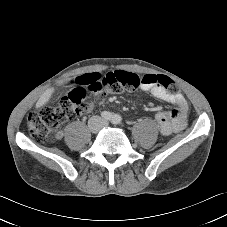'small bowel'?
Listing matches in <instances>:
<instances>
[{
	"label": "small bowel",
	"mask_w": 227,
	"mask_h": 227,
	"mask_svg": "<svg viewBox=\"0 0 227 227\" xmlns=\"http://www.w3.org/2000/svg\"><path fill=\"white\" fill-rule=\"evenodd\" d=\"M104 79L105 72L103 70H95L75 76L73 78V85L75 87H82L83 85H88L97 81H103ZM141 90L149 92L158 100L176 106V108L170 112L158 111L155 115L160 132L163 135H171L173 133L180 132L186 127L189 104L182 94L169 93L160 85L143 84L141 85ZM92 108L93 104H88L85 113L90 112ZM58 136H60V134Z\"/></svg>",
	"instance_id": "1"
}]
</instances>
